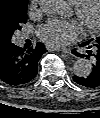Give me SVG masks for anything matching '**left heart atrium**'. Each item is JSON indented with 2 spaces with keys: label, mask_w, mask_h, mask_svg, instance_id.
<instances>
[{
  "label": "left heart atrium",
  "mask_w": 100,
  "mask_h": 118,
  "mask_svg": "<svg viewBox=\"0 0 100 118\" xmlns=\"http://www.w3.org/2000/svg\"><path fill=\"white\" fill-rule=\"evenodd\" d=\"M37 35L47 45L62 48L77 41L82 29L76 21L51 19L38 28Z\"/></svg>",
  "instance_id": "obj_1"
}]
</instances>
